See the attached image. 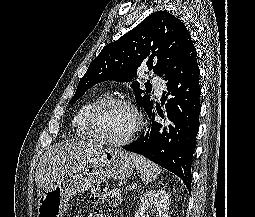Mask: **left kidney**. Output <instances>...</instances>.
I'll return each instance as SVG.
<instances>
[{"label": "left kidney", "instance_id": "obj_1", "mask_svg": "<svg viewBox=\"0 0 255 217\" xmlns=\"http://www.w3.org/2000/svg\"><path fill=\"white\" fill-rule=\"evenodd\" d=\"M169 205V194L165 190H149L143 194L135 217H149V209L155 217H168Z\"/></svg>", "mask_w": 255, "mask_h": 217}]
</instances>
